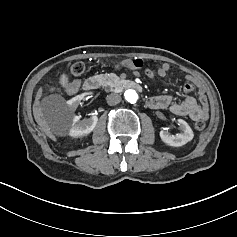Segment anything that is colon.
Returning <instances> with one entry per match:
<instances>
[{"label": "colon", "mask_w": 237, "mask_h": 237, "mask_svg": "<svg viewBox=\"0 0 237 237\" xmlns=\"http://www.w3.org/2000/svg\"><path fill=\"white\" fill-rule=\"evenodd\" d=\"M131 64L134 69H139L143 66V62L141 59H134L131 61ZM70 71H71L72 75L79 77L84 73L85 65L82 62H76V63L72 64ZM145 72L149 78L155 77V72L153 70L147 69ZM205 127H206V122L204 120H198L195 124V128L198 131L204 130Z\"/></svg>", "instance_id": "1"}]
</instances>
